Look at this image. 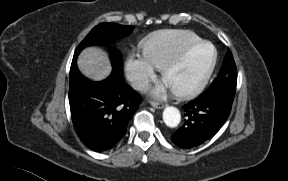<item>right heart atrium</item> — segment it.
I'll use <instances>...</instances> for the list:
<instances>
[{"mask_svg": "<svg viewBox=\"0 0 288 181\" xmlns=\"http://www.w3.org/2000/svg\"><path fill=\"white\" fill-rule=\"evenodd\" d=\"M157 69L143 52L131 51L126 57V76L138 90H145L148 87Z\"/></svg>", "mask_w": 288, "mask_h": 181, "instance_id": "obj_1", "label": "right heart atrium"}]
</instances>
